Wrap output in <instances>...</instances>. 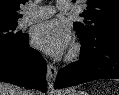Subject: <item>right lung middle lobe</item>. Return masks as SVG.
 I'll use <instances>...</instances> for the list:
<instances>
[{
    "label": "right lung middle lobe",
    "instance_id": "right-lung-middle-lobe-1",
    "mask_svg": "<svg viewBox=\"0 0 119 95\" xmlns=\"http://www.w3.org/2000/svg\"><path fill=\"white\" fill-rule=\"evenodd\" d=\"M16 26L17 23L0 26V42L16 41L19 40L21 37H23L24 34L13 32L16 29Z\"/></svg>",
    "mask_w": 119,
    "mask_h": 95
}]
</instances>
